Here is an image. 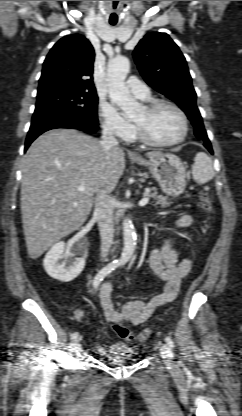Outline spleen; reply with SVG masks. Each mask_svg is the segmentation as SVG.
<instances>
[{
    "mask_svg": "<svg viewBox=\"0 0 242 416\" xmlns=\"http://www.w3.org/2000/svg\"><path fill=\"white\" fill-rule=\"evenodd\" d=\"M214 175L215 172L211 158L204 152L197 153L192 168L194 181L199 184H204L213 179Z\"/></svg>",
    "mask_w": 242,
    "mask_h": 416,
    "instance_id": "3e777b00",
    "label": "spleen"
}]
</instances>
